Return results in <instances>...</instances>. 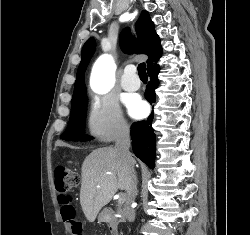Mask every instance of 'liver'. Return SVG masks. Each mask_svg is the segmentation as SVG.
<instances>
[{
    "label": "liver",
    "instance_id": "1",
    "mask_svg": "<svg viewBox=\"0 0 250 235\" xmlns=\"http://www.w3.org/2000/svg\"><path fill=\"white\" fill-rule=\"evenodd\" d=\"M81 175L80 204L89 222H94L118 189L127 190L130 183L129 171L112 147L92 151L82 164Z\"/></svg>",
    "mask_w": 250,
    "mask_h": 235
}]
</instances>
